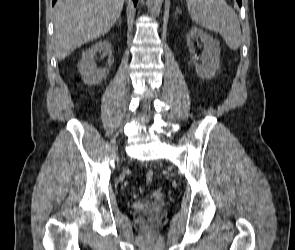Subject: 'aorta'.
Segmentation results:
<instances>
[{
	"label": "aorta",
	"instance_id": "aorta-1",
	"mask_svg": "<svg viewBox=\"0 0 295 250\" xmlns=\"http://www.w3.org/2000/svg\"><path fill=\"white\" fill-rule=\"evenodd\" d=\"M163 0H147L148 11L151 15L157 16L161 11Z\"/></svg>",
	"mask_w": 295,
	"mask_h": 250
}]
</instances>
